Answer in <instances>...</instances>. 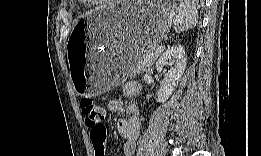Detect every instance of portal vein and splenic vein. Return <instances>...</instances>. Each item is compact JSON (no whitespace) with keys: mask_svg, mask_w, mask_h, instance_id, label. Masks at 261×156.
<instances>
[{"mask_svg":"<svg viewBox=\"0 0 261 156\" xmlns=\"http://www.w3.org/2000/svg\"><path fill=\"white\" fill-rule=\"evenodd\" d=\"M163 50H164V47H163V46H159V47H157V49L155 50L154 54H155L156 56H159L160 53L163 52Z\"/></svg>","mask_w":261,"mask_h":156,"instance_id":"obj_1","label":"portal vein and splenic vein"}]
</instances>
